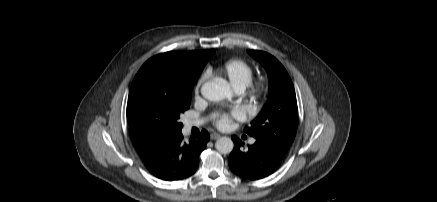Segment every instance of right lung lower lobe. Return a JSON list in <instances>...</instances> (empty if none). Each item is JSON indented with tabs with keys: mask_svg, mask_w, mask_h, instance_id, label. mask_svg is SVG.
I'll return each instance as SVG.
<instances>
[{
	"mask_svg": "<svg viewBox=\"0 0 437 202\" xmlns=\"http://www.w3.org/2000/svg\"><path fill=\"white\" fill-rule=\"evenodd\" d=\"M209 139V133L202 130L200 134L192 137L189 143H185L182 132L178 133L146 157L144 164L159 179H185L196 172L199 155Z\"/></svg>",
	"mask_w": 437,
	"mask_h": 202,
	"instance_id": "98d812e1",
	"label": "right lung lower lobe"
}]
</instances>
